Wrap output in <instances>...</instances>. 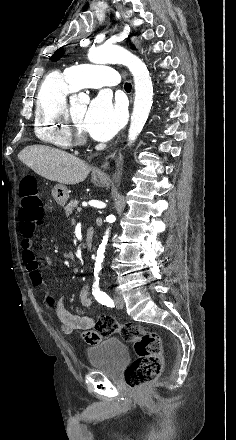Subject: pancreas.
Returning a JSON list of instances; mask_svg holds the SVG:
<instances>
[{"instance_id":"pancreas-1","label":"pancreas","mask_w":236,"mask_h":440,"mask_svg":"<svg viewBox=\"0 0 236 440\" xmlns=\"http://www.w3.org/2000/svg\"><path fill=\"white\" fill-rule=\"evenodd\" d=\"M77 206H78V201H77V200H74V201H71L70 203H68V204L66 205V207L64 208V209H65L66 216L68 217L70 214H72L73 210H74L75 207H77Z\"/></svg>"}]
</instances>
